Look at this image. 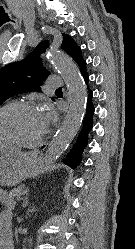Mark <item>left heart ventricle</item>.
<instances>
[{
    "instance_id": "1",
    "label": "left heart ventricle",
    "mask_w": 135,
    "mask_h": 249,
    "mask_svg": "<svg viewBox=\"0 0 135 249\" xmlns=\"http://www.w3.org/2000/svg\"><path fill=\"white\" fill-rule=\"evenodd\" d=\"M45 130L39 109L9 108L0 115V134L24 141L38 139Z\"/></svg>"
}]
</instances>
